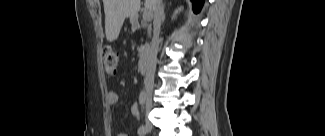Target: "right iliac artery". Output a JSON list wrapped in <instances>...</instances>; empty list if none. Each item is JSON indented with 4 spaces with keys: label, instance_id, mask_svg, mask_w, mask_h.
Listing matches in <instances>:
<instances>
[{
    "label": "right iliac artery",
    "instance_id": "1",
    "mask_svg": "<svg viewBox=\"0 0 325 136\" xmlns=\"http://www.w3.org/2000/svg\"><path fill=\"white\" fill-rule=\"evenodd\" d=\"M146 133H147L146 127L142 125V126L138 129V134H139L140 136H144Z\"/></svg>",
    "mask_w": 325,
    "mask_h": 136
}]
</instances>
